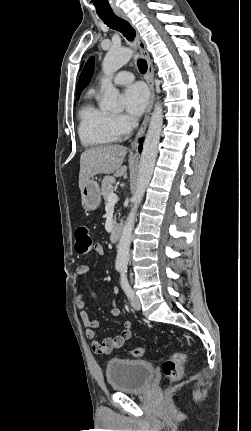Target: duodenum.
Masks as SVG:
<instances>
[{"label": "duodenum", "mask_w": 251, "mask_h": 431, "mask_svg": "<svg viewBox=\"0 0 251 431\" xmlns=\"http://www.w3.org/2000/svg\"><path fill=\"white\" fill-rule=\"evenodd\" d=\"M122 233V225L120 223H117L113 226L110 239L113 243H116L121 236Z\"/></svg>", "instance_id": "1"}]
</instances>
